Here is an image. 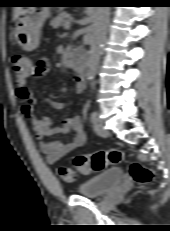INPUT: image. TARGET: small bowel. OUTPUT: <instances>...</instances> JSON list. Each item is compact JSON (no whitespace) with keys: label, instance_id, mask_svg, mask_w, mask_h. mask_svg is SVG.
<instances>
[{"label":"small bowel","instance_id":"1","mask_svg":"<svg viewBox=\"0 0 170 231\" xmlns=\"http://www.w3.org/2000/svg\"><path fill=\"white\" fill-rule=\"evenodd\" d=\"M35 65V77L43 76L48 71L49 60L46 57H41L35 62ZM75 91L76 93L83 91V82L79 75L76 77ZM16 95L23 101L22 113L32 124L40 150L45 155L47 162L54 163L85 144L86 134L80 115L65 118L59 126L53 127L52 119L49 116L37 112V98L26 84L17 85ZM43 101L54 110L62 111L65 108L63 103L50 98H44ZM70 131L74 133V136L67 143L59 140H47L53 135L65 134Z\"/></svg>","mask_w":170,"mask_h":231}]
</instances>
